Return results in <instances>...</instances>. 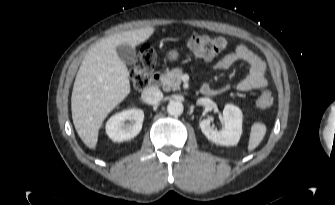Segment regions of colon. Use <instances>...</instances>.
Segmentation results:
<instances>
[{
    "label": "colon",
    "mask_w": 335,
    "mask_h": 205,
    "mask_svg": "<svg viewBox=\"0 0 335 205\" xmlns=\"http://www.w3.org/2000/svg\"><path fill=\"white\" fill-rule=\"evenodd\" d=\"M227 46L223 37L192 36L187 41L189 50L200 59L211 60L218 57ZM156 64L155 51L149 46H143L135 60L131 72V83L137 90L146 88L150 83L151 73ZM273 104V96L270 91H263L256 98V105L260 109H268Z\"/></svg>",
    "instance_id": "1"
}]
</instances>
